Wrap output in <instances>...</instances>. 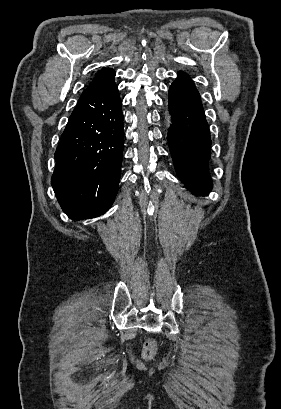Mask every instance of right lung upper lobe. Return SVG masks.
I'll return each mask as SVG.
<instances>
[{
  "mask_svg": "<svg viewBox=\"0 0 281 409\" xmlns=\"http://www.w3.org/2000/svg\"><path fill=\"white\" fill-rule=\"evenodd\" d=\"M112 72V69L103 68L102 70L98 71L94 79L91 81L90 84L95 83L96 81L100 80L106 74Z\"/></svg>",
  "mask_w": 281,
  "mask_h": 409,
  "instance_id": "obj_1",
  "label": "right lung upper lobe"
}]
</instances>
